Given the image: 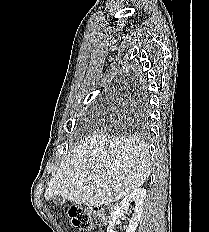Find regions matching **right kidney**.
I'll use <instances>...</instances> for the list:
<instances>
[{
	"mask_svg": "<svg viewBox=\"0 0 209 232\" xmlns=\"http://www.w3.org/2000/svg\"><path fill=\"white\" fill-rule=\"evenodd\" d=\"M145 196L146 190L144 188H137L127 195L112 211L107 232H116L115 226L117 221L127 212L130 203L134 204V212L132 213L129 225L125 227V232H135L141 218Z\"/></svg>",
	"mask_w": 209,
	"mask_h": 232,
	"instance_id": "1",
	"label": "right kidney"
}]
</instances>
